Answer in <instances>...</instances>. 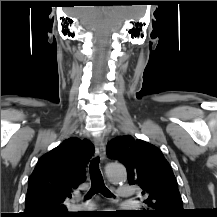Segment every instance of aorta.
<instances>
[{
	"label": "aorta",
	"instance_id": "obj_1",
	"mask_svg": "<svg viewBox=\"0 0 217 217\" xmlns=\"http://www.w3.org/2000/svg\"><path fill=\"white\" fill-rule=\"evenodd\" d=\"M106 175L111 182H120L126 180V170L121 164L109 163L106 166Z\"/></svg>",
	"mask_w": 217,
	"mask_h": 217
}]
</instances>
